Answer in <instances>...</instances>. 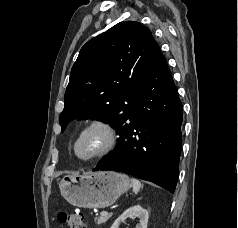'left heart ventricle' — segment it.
Returning <instances> with one entry per match:
<instances>
[{"instance_id": "left-heart-ventricle-1", "label": "left heart ventricle", "mask_w": 238, "mask_h": 228, "mask_svg": "<svg viewBox=\"0 0 238 228\" xmlns=\"http://www.w3.org/2000/svg\"><path fill=\"white\" fill-rule=\"evenodd\" d=\"M102 143V136L98 132L85 136L79 143L77 151L82 157H87L94 153Z\"/></svg>"}]
</instances>
